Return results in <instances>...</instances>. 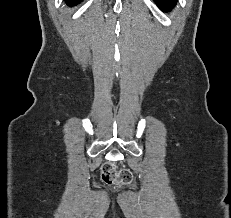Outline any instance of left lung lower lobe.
<instances>
[{"label":"left lung lower lobe","mask_w":231,"mask_h":218,"mask_svg":"<svg viewBox=\"0 0 231 218\" xmlns=\"http://www.w3.org/2000/svg\"><path fill=\"white\" fill-rule=\"evenodd\" d=\"M154 1L162 10H170L175 6L177 2V0H154Z\"/></svg>","instance_id":"0a47b994"}]
</instances>
